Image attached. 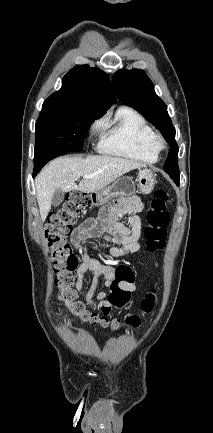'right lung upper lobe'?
I'll return each mask as SVG.
<instances>
[{
    "label": "right lung upper lobe",
    "mask_w": 213,
    "mask_h": 433,
    "mask_svg": "<svg viewBox=\"0 0 213 433\" xmlns=\"http://www.w3.org/2000/svg\"><path fill=\"white\" fill-rule=\"evenodd\" d=\"M116 98L105 72L89 65L76 66L62 79V88L44 102L85 110L96 118L104 115Z\"/></svg>",
    "instance_id": "obj_1"
}]
</instances>
